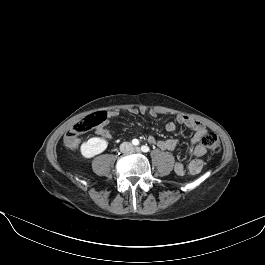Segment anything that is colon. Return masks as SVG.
I'll return each mask as SVG.
<instances>
[{"mask_svg":"<svg viewBox=\"0 0 265 265\" xmlns=\"http://www.w3.org/2000/svg\"><path fill=\"white\" fill-rule=\"evenodd\" d=\"M105 119L106 113L103 111L94 112L83 118L66 133L64 137L65 146L76 148L80 144V136L99 126ZM201 142L211 153H218L221 149L220 139L213 132L206 133Z\"/></svg>","mask_w":265,"mask_h":265,"instance_id":"obj_1","label":"colon"}]
</instances>
